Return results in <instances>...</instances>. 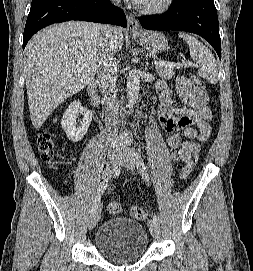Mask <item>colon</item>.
<instances>
[{
	"instance_id": "5ec220e1",
	"label": "colon",
	"mask_w": 253,
	"mask_h": 271,
	"mask_svg": "<svg viewBox=\"0 0 253 271\" xmlns=\"http://www.w3.org/2000/svg\"><path fill=\"white\" fill-rule=\"evenodd\" d=\"M192 79L195 81L199 89L205 93L204 83L195 76H192ZM37 145L41 158L53 167L55 165L54 159L57 154V146L52 135L48 132L41 133L37 138ZM196 160V157H193L186 162L181 172V177L183 179H187L190 176L196 164ZM107 211L110 214H118L121 211V205L118 202H110L107 206ZM130 214L134 219L139 221H144L148 218L147 210L140 206H133L130 210Z\"/></svg>"
}]
</instances>
